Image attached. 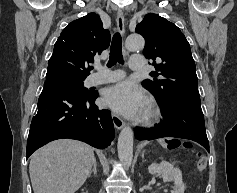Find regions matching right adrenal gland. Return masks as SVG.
Segmentation results:
<instances>
[{
	"label": "right adrenal gland",
	"instance_id": "2a0ac1e0",
	"mask_svg": "<svg viewBox=\"0 0 237 193\" xmlns=\"http://www.w3.org/2000/svg\"><path fill=\"white\" fill-rule=\"evenodd\" d=\"M92 172L94 173V175H97V162H96V159L94 160L93 169L90 171L88 177L91 176Z\"/></svg>",
	"mask_w": 237,
	"mask_h": 193
}]
</instances>
